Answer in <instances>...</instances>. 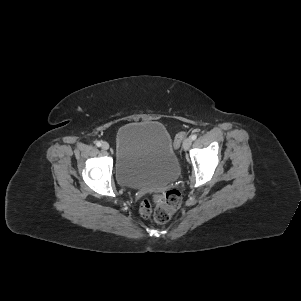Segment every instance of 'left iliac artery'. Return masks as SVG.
<instances>
[{"mask_svg": "<svg viewBox=\"0 0 301 301\" xmlns=\"http://www.w3.org/2000/svg\"><path fill=\"white\" fill-rule=\"evenodd\" d=\"M196 138H197V135H196V134L191 135V139H192V140H195Z\"/></svg>", "mask_w": 301, "mask_h": 301, "instance_id": "1", "label": "left iliac artery"}]
</instances>
